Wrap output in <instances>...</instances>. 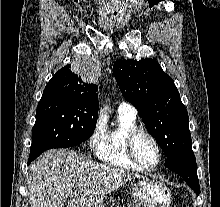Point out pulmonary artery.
Instances as JSON below:
<instances>
[{
  "label": "pulmonary artery",
  "instance_id": "e3ab8cb5",
  "mask_svg": "<svg viewBox=\"0 0 220 207\" xmlns=\"http://www.w3.org/2000/svg\"><path fill=\"white\" fill-rule=\"evenodd\" d=\"M118 111L120 113L129 114V115L134 116V117H136V115H137L136 108L128 102H121L119 104Z\"/></svg>",
  "mask_w": 220,
  "mask_h": 207
}]
</instances>
